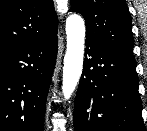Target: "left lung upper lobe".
Listing matches in <instances>:
<instances>
[{
    "label": "left lung upper lobe",
    "mask_w": 147,
    "mask_h": 131,
    "mask_svg": "<svg viewBox=\"0 0 147 131\" xmlns=\"http://www.w3.org/2000/svg\"><path fill=\"white\" fill-rule=\"evenodd\" d=\"M71 8L85 19L86 40L134 59L132 21L125 0H71Z\"/></svg>",
    "instance_id": "obj_1"
}]
</instances>
